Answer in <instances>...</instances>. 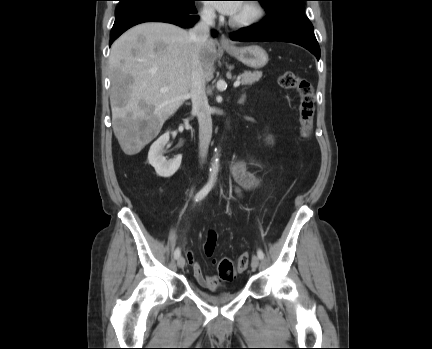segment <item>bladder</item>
<instances>
[{
  "mask_svg": "<svg viewBox=\"0 0 432 349\" xmlns=\"http://www.w3.org/2000/svg\"><path fill=\"white\" fill-rule=\"evenodd\" d=\"M195 294L207 303L221 305L234 298V294L228 291L210 292L204 289L196 288Z\"/></svg>",
  "mask_w": 432,
  "mask_h": 349,
  "instance_id": "1",
  "label": "bladder"
}]
</instances>
